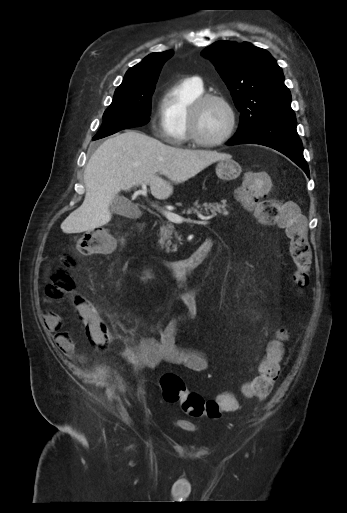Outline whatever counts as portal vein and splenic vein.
Instances as JSON below:
<instances>
[{"mask_svg":"<svg viewBox=\"0 0 347 513\" xmlns=\"http://www.w3.org/2000/svg\"><path fill=\"white\" fill-rule=\"evenodd\" d=\"M141 193L142 195L146 196L147 194V187H146V184L145 183H142L141 184ZM160 212L171 222H174V223H182L184 221L186 222H191V223H197V224H208L209 223V219H211L212 217H204L203 220H191V219H185L184 217L174 213V212H171V211H168V210H160Z\"/></svg>","mask_w":347,"mask_h":513,"instance_id":"portal-vein-and-splenic-vein-1","label":"portal vein and splenic vein"}]
</instances>
